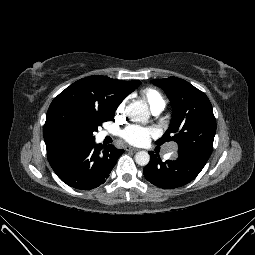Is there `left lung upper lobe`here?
Wrapping results in <instances>:
<instances>
[{
  "instance_id": "left-lung-upper-lobe-1",
  "label": "left lung upper lobe",
  "mask_w": 255,
  "mask_h": 255,
  "mask_svg": "<svg viewBox=\"0 0 255 255\" xmlns=\"http://www.w3.org/2000/svg\"><path fill=\"white\" fill-rule=\"evenodd\" d=\"M152 83L165 91L173 110L168 130L156 143L174 140L179 155L207 161L216 132V120L207 96L177 77L156 79Z\"/></svg>"
}]
</instances>
